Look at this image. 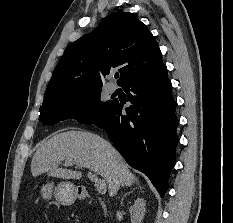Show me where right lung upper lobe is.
<instances>
[{
  "label": "right lung upper lobe",
  "instance_id": "1",
  "mask_svg": "<svg viewBox=\"0 0 233 223\" xmlns=\"http://www.w3.org/2000/svg\"><path fill=\"white\" fill-rule=\"evenodd\" d=\"M161 63V51L147 27L131 13L115 12L65 50L43 105L101 88L105 75L114 68H119L118 84L122 86Z\"/></svg>",
  "mask_w": 233,
  "mask_h": 223
}]
</instances>
